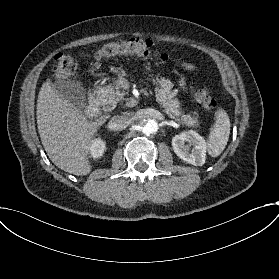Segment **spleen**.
Returning <instances> with one entry per match:
<instances>
[{
    "label": "spleen",
    "instance_id": "spleen-1",
    "mask_svg": "<svg viewBox=\"0 0 279 279\" xmlns=\"http://www.w3.org/2000/svg\"><path fill=\"white\" fill-rule=\"evenodd\" d=\"M230 119L224 110L215 113V124L207 141V151L212 157L219 156L225 149L230 135Z\"/></svg>",
    "mask_w": 279,
    "mask_h": 279
}]
</instances>
